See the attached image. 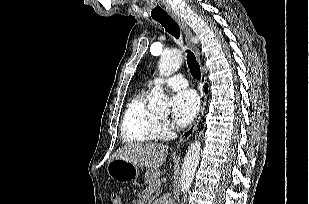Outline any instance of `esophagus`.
I'll use <instances>...</instances> for the list:
<instances>
[{
    "label": "esophagus",
    "mask_w": 309,
    "mask_h": 204,
    "mask_svg": "<svg viewBox=\"0 0 309 204\" xmlns=\"http://www.w3.org/2000/svg\"><path fill=\"white\" fill-rule=\"evenodd\" d=\"M170 16L179 25V27L183 31L188 46L193 50L198 61L200 62V52H199V49H198L199 39L192 35V32H191L189 26L187 25V23L177 13L172 12V13H170ZM205 81H206L205 73H202L201 78H200V84H199L200 108H199L197 116L194 119L191 126L180 136V139H179V142H178L179 145L185 143L192 136V134L197 129L198 124H199V122L202 118V115H203V112H204L205 106H206V94H205V91H204Z\"/></svg>",
    "instance_id": "1"
}]
</instances>
